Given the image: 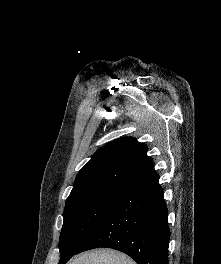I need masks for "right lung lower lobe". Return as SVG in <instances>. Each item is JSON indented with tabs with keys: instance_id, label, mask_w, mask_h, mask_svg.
Here are the masks:
<instances>
[{
	"instance_id": "obj_1",
	"label": "right lung lower lobe",
	"mask_w": 221,
	"mask_h": 264,
	"mask_svg": "<svg viewBox=\"0 0 221 264\" xmlns=\"http://www.w3.org/2000/svg\"><path fill=\"white\" fill-rule=\"evenodd\" d=\"M158 181L153 173L128 185L73 255L107 247L128 254L138 264H168V210Z\"/></svg>"
}]
</instances>
